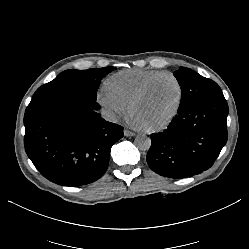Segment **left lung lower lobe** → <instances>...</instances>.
Instances as JSON below:
<instances>
[{
  "label": "left lung lower lobe",
  "instance_id": "left-lung-lower-lobe-1",
  "mask_svg": "<svg viewBox=\"0 0 249 249\" xmlns=\"http://www.w3.org/2000/svg\"><path fill=\"white\" fill-rule=\"evenodd\" d=\"M228 111L224 96L202 99L178 111L167 129L151 136L149 167L178 179L209 169L227 142Z\"/></svg>",
  "mask_w": 249,
  "mask_h": 249
}]
</instances>
